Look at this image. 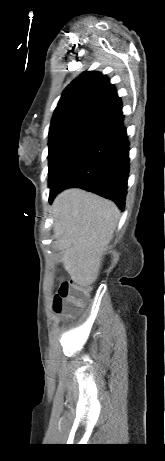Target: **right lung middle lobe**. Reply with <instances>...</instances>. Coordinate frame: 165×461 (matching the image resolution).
Returning a JSON list of instances; mask_svg holds the SVG:
<instances>
[{
    "mask_svg": "<svg viewBox=\"0 0 165 461\" xmlns=\"http://www.w3.org/2000/svg\"><path fill=\"white\" fill-rule=\"evenodd\" d=\"M106 121L93 115H81L51 121L49 129V185L86 140Z\"/></svg>",
    "mask_w": 165,
    "mask_h": 461,
    "instance_id": "dd1d6c3e",
    "label": "right lung middle lobe"
}]
</instances>
